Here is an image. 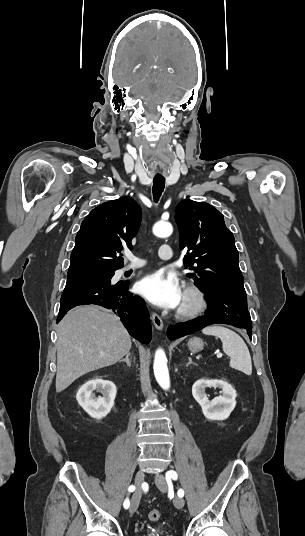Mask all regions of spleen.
<instances>
[{"mask_svg":"<svg viewBox=\"0 0 305 536\" xmlns=\"http://www.w3.org/2000/svg\"><path fill=\"white\" fill-rule=\"evenodd\" d=\"M202 332L206 336H217V338H220L223 352L230 358V368L251 376V356L245 342H243L238 334H235L232 330H228V328H222V324H214V326L204 328Z\"/></svg>","mask_w":305,"mask_h":536,"instance_id":"3e777b00","label":"spleen"}]
</instances>
